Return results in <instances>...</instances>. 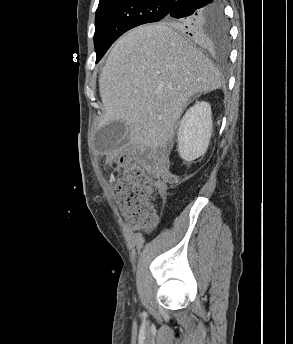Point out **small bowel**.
I'll list each match as a JSON object with an SVG mask.
<instances>
[{"instance_id":"c3829d8e","label":"small bowel","mask_w":293,"mask_h":344,"mask_svg":"<svg viewBox=\"0 0 293 344\" xmlns=\"http://www.w3.org/2000/svg\"><path fill=\"white\" fill-rule=\"evenodd\" d=\"M159 191H160V193H162V192H163V188H162V187H160V188H159Z\"/></svg>"}]
</instances>
